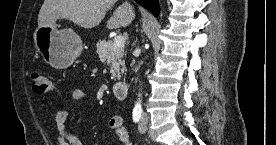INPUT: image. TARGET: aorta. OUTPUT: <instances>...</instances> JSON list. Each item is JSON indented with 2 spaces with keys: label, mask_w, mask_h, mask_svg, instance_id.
<instances>
[{
  "label": "aorta",
  "mask_w": 276,
  "mask_h": 145,
  "mask_svg": "<svg viewBox=\"0 0 276 145\" xmlns=\"http://www.w3.org/2000/svg\"><path fill=\"white\" fill-rule=\"evenodd\" d=\"M137 105H140V101L137 102Z\"/></svg>",
  "instance_id": "aorta-1"
}]
</instances>
